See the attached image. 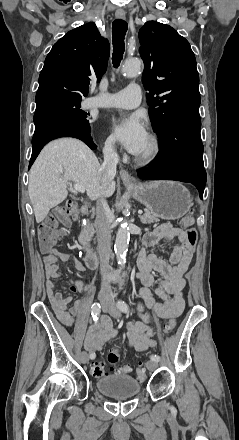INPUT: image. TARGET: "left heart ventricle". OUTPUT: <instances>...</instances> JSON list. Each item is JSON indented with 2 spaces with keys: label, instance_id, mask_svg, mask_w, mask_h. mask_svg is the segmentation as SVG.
I'll return each instance as SVG.
<instances>
[{
  "label": "left heart ventricle",
  "instance_id": "b2bd125f",
  "mask_svg": "<svg viewBox=\"0 0 239 440\" xmlns=\"http://www.w3.org/2000/svg\"><path fill=\"white\" fill-rule=\"evenodd\" d=\"M149 148V139H147L143 149L141 150V152L139 154L145 153Z\"/></svg>",
  "mask_w": 239,
  "mask_h": 440
}]
</instances>
